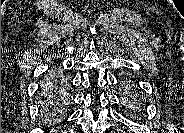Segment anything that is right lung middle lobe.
Segmentation results:
<instances>
[{"label": "right lung middle lobe", "instance_id": "1", "mask_svg": "<svg viewBox=\"0 0 184 133\" xmlns=\"http://www.w3.org/2000/svg\"><path fill=\"white\" fill-rule=\"evenodd\" d=\"M65 86L59 75L52 74L45 79L41 92V108L44 113L54 112L55 108L62 103L59 94Z\"/></svg>", "mask_w": 184, "mask_h": 133}]
</instances>
